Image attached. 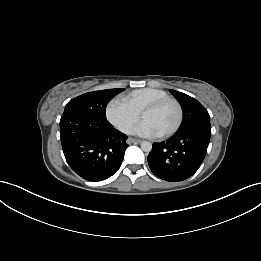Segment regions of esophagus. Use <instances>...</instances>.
<instances>
[{
  "label": "esophagus",
  "instance_id": "esophagus-1",
  "mask_svg": "<svg viewBox=\"0 0 261 261\" xmlns=\"http://www.w3.org/2000/svg\"><path fill=\"white\" fill-rule=\"evenodd\" d=\"M128 143H134V144H137V143H141V140L139 139H135V138H129L127 140Z\"/></svg>",
  "mask_w": 261,
  "mask_h": 261
}]
</instances>
